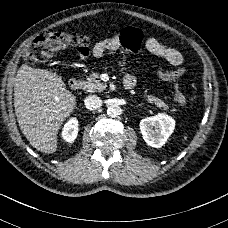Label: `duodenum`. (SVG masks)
<instances>
[{
    "instance_id": "1",
    "label": "duodenum",
    "mask_w": 228,
    "mask_h": 228,
    "mask_svg": "<svg viewBox=\"0 0 228 228\" xmlns=\"http://www.w3.org/2000/svg\"><path fill=\"white\" fill-rule=\"evenodd\" d=\"M68 85L73 91H78L81 89L82 80L78 77H71L68 81ZM124 85L127 89H131L135 86V81L131 78H127L124 81Z\"/></svg>"
}]
</instances>
